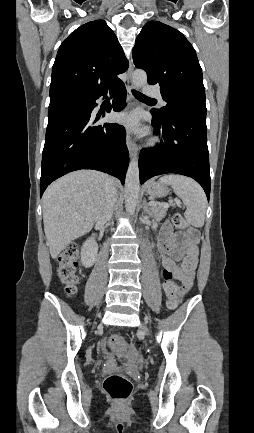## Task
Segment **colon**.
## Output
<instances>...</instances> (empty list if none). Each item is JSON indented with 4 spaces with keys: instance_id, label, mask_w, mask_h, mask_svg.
Segmentation results:
<instances>
[{
    "instance_id": "1",
    "label": "colon",
    "mask_w": 254,
    "mask_h": 433,
    "mask_svg": "<svg viewBox=\"0 0 254 433\" xmlns=\"http://www.w3.org/2000/svg\"><path fill=\"white\" fill-rule=\"evenodd\" d=\"M172 223L177 229L182 230L184 233L195 235L194 229L188 226L181 214H174ZM78 257V248L73 245L67 247L58 257V276L68 295L74 294L80 284ZM166 278L169 279L170 276L166 275ZM166 295L169 307L175 308L181 297L180 288L174 282H171L167 287ZM111 344L116 347H122L124 343L120 336H114L111 338ZM135 357L136 355L132 357V360H134ZM103 388L111 400L123 402L128 399L132 392V383L125 376L112 374L105 378Z\"/></svg>"
}]
</instances>
